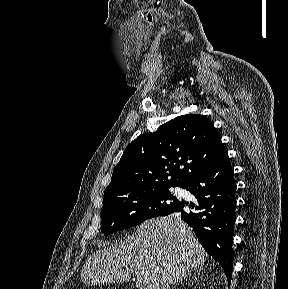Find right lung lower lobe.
I'll use <instances>...</instances> for the list:
<instances>
[{"label":"right lung lower lobe","instance_id":"right-lung-lower-lobe-1","mask_svg":"<svg viewBox=\"0 0 288 289\" xmlns=\"http://www.w3.org/2000/svg\"><path fill=\"white\" fill-rule=\"evenodd\" d=\"M181 188L188 190L196 202H180L167 215L178 212L188 223L206 252L222 266L230 283L234 253L236 183L228 154L223 152L206 169L188 179ZM189 206L191 211H184Z\"/></svg>","mask_w":288,"mask_h":289}]
</instances>
